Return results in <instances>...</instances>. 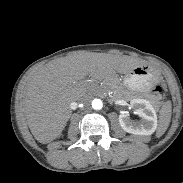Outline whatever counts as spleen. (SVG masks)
I'll use <instances>...</instances> for the list:
<instances>
[{
	"instance_id": "1",
	"label": "spleen",
	"mask_w": 183,
	"mask_h": 183,
	"mask_svg": "<svg viewBox=\"0 0 183 183\" xmlns=\"http://www.w3.org/2000/svg\"><path fill=\"white\" fill-rule=\"evenodd\" d=\"M171 121V103L166 102L161 110L159 115V126L157 129L156 136L161 137L167 130Z\"/></svg>"
}]
</instances>
